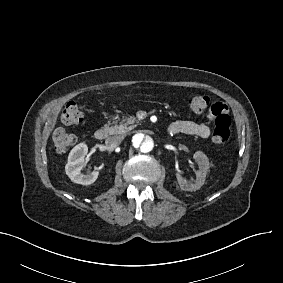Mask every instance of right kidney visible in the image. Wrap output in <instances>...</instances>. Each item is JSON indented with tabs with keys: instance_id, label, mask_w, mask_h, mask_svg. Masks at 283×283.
I'll use <instances>...</instances> for the list:
<instances>
[{
	"instance_id": "obj_1",
	"label": "right kidney",
	"mask_w": 283,
	"mask_h": 283,
	"mask_svg": "<svg viewBox=\"0 0 283 283\" xmlns=\"http://www.w3.org/2000/svg\"><path fill=\"white\" fill-rule=\"evenodd\" d=\"M88 153L85 143L76 145L68 156V163L65 166V173L73 183L80 185H90L96 181L100 172L98 170L85 175L81 174L82 164Z\"/></svg>"
}]
</instances>
